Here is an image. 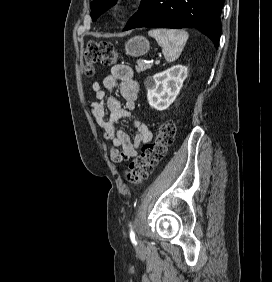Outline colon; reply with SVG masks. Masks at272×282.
Segmentation results:
<instances>
[{
	"instance_id": "1",
	"label": "colon",
	"mask_w": 272,
	"mask_h": 282,
	"mask_svg": "<svg viewBox=\"0 0 272 282\" xmlns=\"http://www.w3.org/2000/svg\"><path fill=\"white\" fill-rule=\"evenodd\" d=\"M117 59V53L110 43L91 41L84 54L86 74H94V64L112 65ZM175 135L174 124L170 121L161 123L154 141L144 145L142 153L129 165L126 179L130 183L140 184L153 172L155 167L165 157L168 147Z\"/></svg>"
}]
</instances>
